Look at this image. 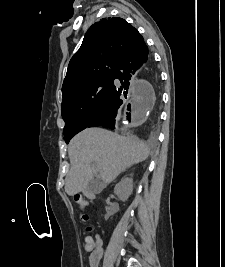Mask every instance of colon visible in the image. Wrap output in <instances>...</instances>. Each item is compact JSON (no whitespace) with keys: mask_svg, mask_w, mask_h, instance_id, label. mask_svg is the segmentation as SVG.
I'll use <instances>...</instances> for the list:
<instances>
[{"mask_svg":"<svg viewBox=\"0 0 225 267\" xmlns=\"http://www.w3.org/2000/svg\"><path fill=\"white\" fill-rule=\"evenodd\" d=\"M79 203L81 206L84 205V201L79 199ZM81 219L83 221H87L88 220V215L86 213H82L81 214ZM91 228L88 227L87 230H90ZM82 246L84 248V250L86 251H90L92 250L94 247H95V243H94V240L91 236H86L83 241H82Z\"/></svg>","mask_w":225,"mask_h":267,"instance_id":"1","label":"colon"}]
</instances>
